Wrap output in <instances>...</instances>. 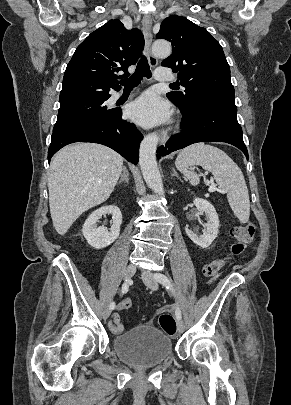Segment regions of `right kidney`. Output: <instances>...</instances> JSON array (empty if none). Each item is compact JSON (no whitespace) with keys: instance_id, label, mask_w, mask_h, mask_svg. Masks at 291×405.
Here are the masks:
<instances>
[{"instance_id":"ca27d5eb","label":"right kidney","mask_w":291,"mask_h":405,"mask_svg":"<svg viewBox=\"0 0 291 405\" xmlns=\"http://www.w3.org/2000/svg\"><path fill=\"white\" fill-rule=\"evenodd\" d=\"M106 214L112 215L110 231L96 225L98 220ZM121 223L122 214L120 209L115 205L104 206L89 215L83 225L82 233L91 247L101 249L111 245L119 237Z\"/></svg>"}]
</instances>
